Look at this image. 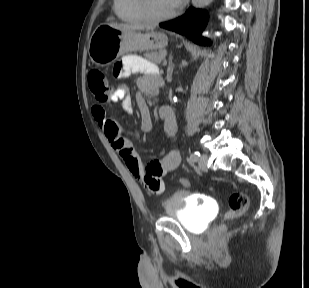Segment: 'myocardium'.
Returning a JSON list of instances; mask_svg holds the SVG:
<instances>
[{
    "mask_svg": "<svg viewBox=\"0 0 309 288\" xmlns=\"http://www.w3.org/2000/svg\"><path fill=\"white\" fill-rule=\"evenodd\" d=\"M138 2H139V8H140L143 16L149 22L164 21V20H167V19L174 17L178 13V8H175L174 10H172L168 13L158 14L154 11L152 0H138Z\"/></svg>",
    "mask_w": 309,
    "mask_h": 288,
    "instance_id": "f54148a6",
    "label": "myocardium"
}]
</instances>
